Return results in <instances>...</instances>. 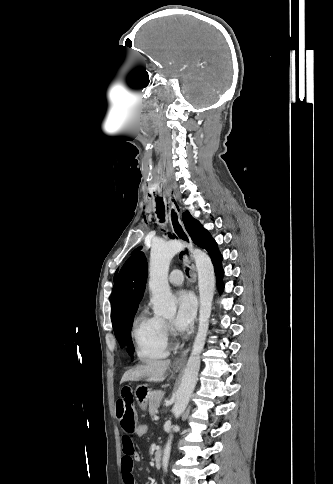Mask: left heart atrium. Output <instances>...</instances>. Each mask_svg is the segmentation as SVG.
Wrapping results in <instances>:
<instances>
[{
    "instance_id": "obj_1",
    "label": "left heart atrium",
    "mask_w": 333,
    "mask_h": 484,
    "mask_svg": "<svg viewBox=\"0 0 333 484\" xmlns=\"http://www.w3.org/2000/svg\"><path fill=\"white\" fill-rule=\"evenodd\" d=\"M177 312L174 318V325L177 330H187L195 317L196 300L192 293L182 290L176 295Z\"/></svg>"
}]
</instances>
